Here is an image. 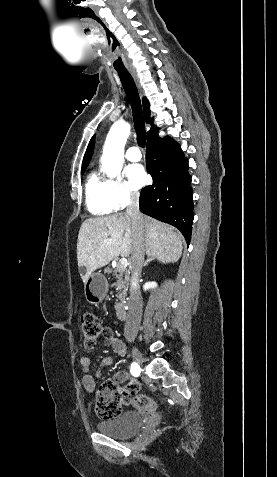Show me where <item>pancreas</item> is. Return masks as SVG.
Wrapping results in <instances>:
<instances>
[{"mask_svg":"<svg viewBox=\"0 0 277 477\" xmlns=\"http://www.w3.org/2000/svg\"><path fill=\"white\" fill-rule=\"evenodd\" d=\"M105 271L107 273H112L114 279H116V282L113 284V286L117 287V298L120 301H123L127 296V290L130 280L129 272L124 268H121L119 264L116 266L115 269L107 267Z\"/></svg>","mask_w":277,"mask_h":477,"instance_id":"obj_1","label":"pancreas"}]
</instances>
